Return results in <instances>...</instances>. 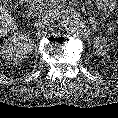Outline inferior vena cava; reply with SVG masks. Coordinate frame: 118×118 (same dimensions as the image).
Segmentation results:
<instances>
[{"label":"inferior vena cava","mask_w":118,"mask_h":118,"mask_svg":"<svg viewBox=\"0 0 118 118\" xmlns=\"http://www.w3.org/2000/svg\"><path fill=\"white\" fill-rule=\"evenodd\" d=\"M53 22V19L48 15H42L40 18L35 22V26L38 29H44L46 26L50 25Z\"/></svg>","instance_id":"602c4592"}]
</instances>
